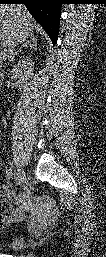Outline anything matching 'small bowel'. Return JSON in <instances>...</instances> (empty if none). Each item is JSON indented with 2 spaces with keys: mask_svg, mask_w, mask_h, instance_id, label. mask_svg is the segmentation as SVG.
I'll return each instance as SVG.
<instances>
[{
  "mask_svg": "<svg viewBox=\"0 0 106 257\" xmlns=\"http://www.w3.org/2000/svg\"><path fill=\"white\" fill-rule=\"evenodd\" d=\"M26 212H29L28 216ZM38 215L37 206L30 200L23 205H15L10 197L2 196L0 204V227L5 228L8 223L23 219L32 220Z\"/></svg>",
  "mask_w": 106,
  "mask_h": 257,
  "instance_id": "c3829d8e",
  "label": "small bowel"
}]
</instances>
